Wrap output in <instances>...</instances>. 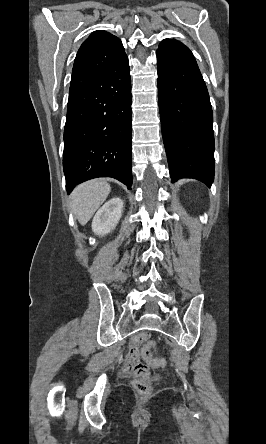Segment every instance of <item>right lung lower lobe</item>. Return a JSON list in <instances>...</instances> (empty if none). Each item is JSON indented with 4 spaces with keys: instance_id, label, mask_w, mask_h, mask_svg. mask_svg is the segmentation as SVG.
Segmentation results:
<instances>
[{
    "instance_id": "right-lung-lower-lobe-1",
    "label": "right lung lower lobe",
    "mask_w": 266,
    "mask_h": 444,
    "mask_svg": "<svg viewBox=\"0 0 266 444\" xmlns=\"http://www.w3.org/2000/svg\"><path fill=\"white\" fill-rule=\"evenodd\" d=\"M66 190L97 177L132 185L131 78L127 56L69 96L64 129Z\"/></svg>"
}]
</instances>
